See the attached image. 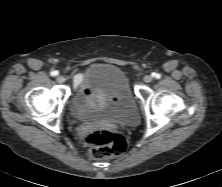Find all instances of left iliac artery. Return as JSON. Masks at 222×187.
<instances>
[{
    "mask_svg": "<svg viewBox=\"0 0 222 187\" xmlns=\"http://www.w3.org/2000/svg\"><path fill=\"white\" fill-rule=\"evenodd\" d=\"M152 76L155 77V78H160L161 77L160 74H158V73H153Z\"/></svg>",
    "mask_w": 222,
    "mask_h": 187,
    "instance_id": "obj_1",
    "label": "left iliac artery"
}]
</instances>
